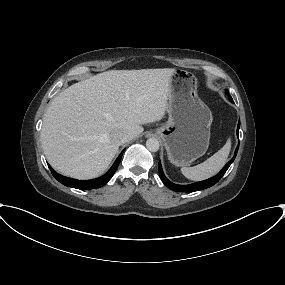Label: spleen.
Here are the masks:
<instances>
[{"label": "spleen", "mask_w": 285, "mask_h": 285, "mask_svg": "<svg viewBox=\"0 0 285 285\" xmlns=\"http://www.w3.org/2000/svg\"><path fill=\"white\" fill-rule=\"evenodd\" d=\"M231 149V139L213 156L193 167H182V174L193 181H201L217 174L225 165Z\"/></svg>", "instance_id": "3e777b00"}]
</instances>
